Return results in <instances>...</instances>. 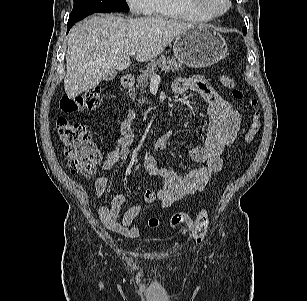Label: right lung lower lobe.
<instances>
[{"label":"right lung lower lobe","mask_w":307,"mask_h":301,"mask_svg":"<svg viewBox=\"0 0 307 301\" xmlns=\"http://www.w3.org/2000/svg\"><path fill=\"white\" fill-rule=\"evenodd\" d=\"M75 24V22H68L67 32L70 30V28Z\"/></svg>","instance_id":"right-lung-lower-lobe-1"}]
</instances>
